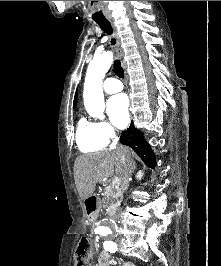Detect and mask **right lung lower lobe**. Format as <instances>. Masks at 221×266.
Here are the masks:
<instances>
[{
    "label": "right lung lower lobe",
    "mask_w": 221,
    "mask_h": 266,
    "mask_svg": "<svg viewBox=\"0 0 221 266\" xmlns=\"http://www.w3.org/2000/svg\"><path fill=\"white\" fill-rule=\"evenodd\" d=\"M120 142L123 145L131 147L148 167H155L154 152L151 150L150 145L143 139L142 133L134 128L133 123L122 133Z\"/></svg>",
    "instance_id": "right-lung-lower-lobe-1"
}]
</instances>
